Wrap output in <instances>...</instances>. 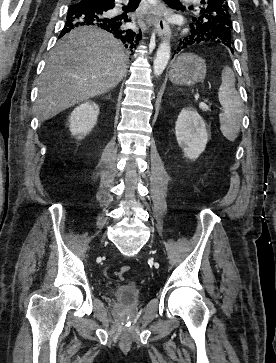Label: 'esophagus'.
Listing matches in <instances>:
<instances>
[{"instance_id":"34e87169","label":"esophagus","mask_w":276,"mask_h":363,"mask_svg":"<svg viewBox=\"0 0 276 363\" xmlns=\"http://www.w3.org/2000/svg\"><path fill=\"white\" fill-rule=\"evenodd\" d=\"M165 7L161 0H157L147 17V21L155 26L156 32L161 39H170V29L164 19Z\"/></svg>"}]
</instances>
